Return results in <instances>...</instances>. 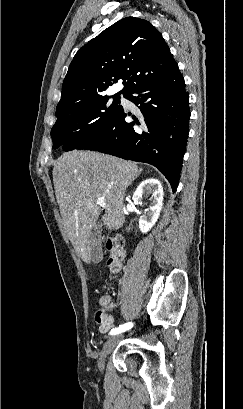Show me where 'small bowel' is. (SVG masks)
I'll return each mask as SVG.
<instances>
[{
  "label": "small bowel",
  "mask_w": 243,
  "mask_h": 409,
  "mask_svg": "<svg viewBox=\"0 0 243 409\" xmlns=\"http://www.w3.org/2000/svg\"><path fill=\"white\" fill-rule=\"evenodd\" d=\"M99 304L101 307L108 310L105 313L103 321L99 323V331L103 334L107 333L115 324V317L112 311L115 309L114 304L111 302V297L108 295L102 296L99 299Z\"/></svg>",
  "instance_id": "obj_1"
}]
</instances>
